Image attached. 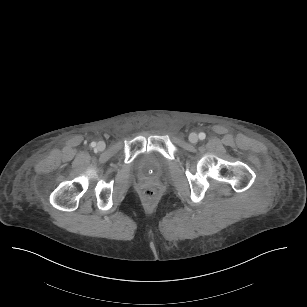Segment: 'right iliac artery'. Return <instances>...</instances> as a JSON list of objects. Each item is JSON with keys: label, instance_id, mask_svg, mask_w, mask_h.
Here are the masks:
<instances>
[{"label": "right iliac artery", "instance_id": "obj_1", "mask_svg": "<svg viewBox=\"0 0 307 307\" xmlns=\"http://www.w3.org/2000/svg\"><path fill=\"white\" fill-rule=\"evenodd\" d=\"M91 146H92V147H95V146H96V143H95V142H92V143H91Z\"/></svg>", "mask_w": 307, "mask_h": 307}]
</instances>
